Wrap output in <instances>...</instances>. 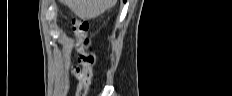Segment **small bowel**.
<instances>
[{"mask_svg": "<svg viewBox=\"0 0 232 96\" xmlns=\"http://www.w3.org/2000/svg\"><path fill=\"white\" fill-rule=\"evenodd\" d=\"M91 75H92L91 67H89L87 65H82L78 88L81 85H84V87L87 88L88 84H89V81H90V78H91ZM84 79H86V82H84Z\"/></svg>", "mask_w": 232, "mask_h": 96, "instance_id": "1", "label": "small bowel"}]
</instances>
